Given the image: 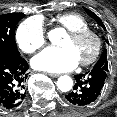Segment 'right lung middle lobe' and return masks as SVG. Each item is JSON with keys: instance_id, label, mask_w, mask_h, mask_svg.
Instances as JSON below:
<instances>
[{"instance_id": "1", "label": "right lung middle lobe", "mask_w": 117, "mask_h": 117, "mask_svg": "<svg viewBox=\"0 0 117 117\" xmlns=\"http://www.w3.org/2000/svg\"><path fill=\"white\" fill-rule=\"evenodd\" d=\"M23 13H10L0 16V53L20 54L15 43V27Z\"/></svg>"}]
</instances>
